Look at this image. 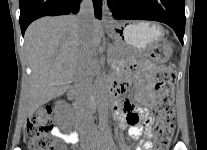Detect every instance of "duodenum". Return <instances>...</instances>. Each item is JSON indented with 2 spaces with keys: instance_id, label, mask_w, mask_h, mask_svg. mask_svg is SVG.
<instances>
[{
  "instance_id": "410a0bca",
  "label": "duodenum",
  "mask_w": 207,
  "mask_h": 150,
  "mask_svg": "<svg viewBox=\"0 0 207 150\" xmlns=\"http://www.w3.org/2000/svg\"><path fill=\"white\" fill-rule=\"evenodd\" d=\"M106 87H107V89H108V91H109V93H110V96H111V99L113 100V103H114V101H115V93H116V85H115V83H113V82H108L107 84H106ZM79 87L76 85V86H74L73 88H72V90H71V95H77L78 94V92H79Z\"/></svg>"
}]
</instances>
